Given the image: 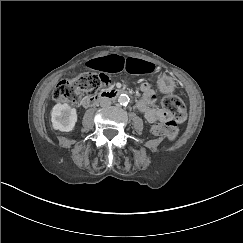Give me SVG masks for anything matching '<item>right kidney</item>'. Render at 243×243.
I'll return each mask as SVG.
<instances>
[{"label":"right kidney","mask_w":243,"mask_h":243,"mask_svg":"<svg viewBox=\"0 0 243 243\" xmlns=\"http://www.w3.org/2000/svg\"><path fill=\"white\" fill-rule=\"evenodd\" d=\"M78 121L77 109L69 103H57L51 109V129L60 132H70Z\"/></svg>","instance_id":"obj_1"}]
</instances>
